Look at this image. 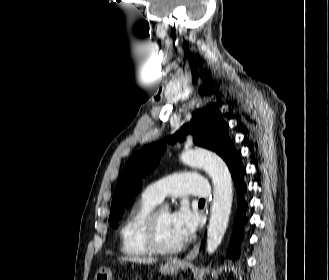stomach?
<instances>
[{"label": "stomach", "mask_w": 329, "mask_h": 280, "mask_svg": "<svg viewBox=\"0 0 329 280\" xmlns=\"http://www.w3.org/2000/svg\"><path fill=\"white\" fill-rule=\"evenodd\" d=\"M180 269V266L176 263H167L160 267V272L164 275H175ZM94 280H112V271L108 267H101Z\"/></svg>", "instance_id": "obj_1"}]
</instances>
